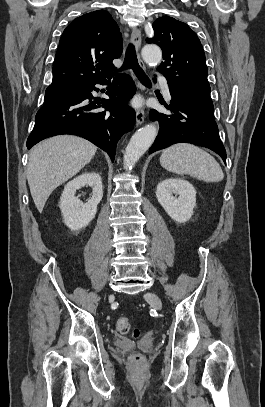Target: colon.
<instances>
[{"instance_id": "1", "label": "colon", "mask_w": 265, "mask_h": 407, "mask_svg": "<svg viewBox=\"0 0 265 407\" xmlns=\"http://www.w3.org/2000/svg\"><path fill=\"white\" fill-rule=\"evenodd\" d=\"M116 328L121 334H131L133 338H137L140 335L137 328H131L127 317H119L116 321ZM131 360L134 364H140L142 362V356L140 354H134Z\"/></svg>"}]
</instances>
